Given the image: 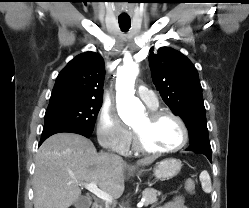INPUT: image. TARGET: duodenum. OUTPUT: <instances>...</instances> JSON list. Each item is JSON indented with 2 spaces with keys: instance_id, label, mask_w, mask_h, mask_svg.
I'll return each mask as SVG.
<instances>
[{
  "instance_id": "obj_1",
  "label": "duodenum",
  "mask_w": 249,
  "mask_h": 208,
  "mask_svg": "<svg viewBox=\"0 0 249 208\" xmlns=\"http://www.w3.org/2000/svg\"><path fill=\"white\" fill-rule=\"evenodd\" d=\"M90 208H99V204L97 201L93 202L90 206Z\"/></svg>"
}]
</instances>
